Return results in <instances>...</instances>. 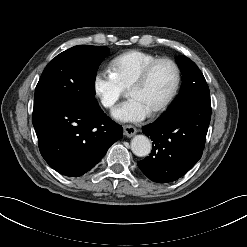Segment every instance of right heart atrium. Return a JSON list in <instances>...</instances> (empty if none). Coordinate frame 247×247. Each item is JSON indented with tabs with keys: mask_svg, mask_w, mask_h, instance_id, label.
Instances as JSON below:
<instances>
[{
	"mask_svg": "<svg viewBox=\"0 0 247 247\" xmlns=\"http://www.w3.org/2000/svg\"><path fill=\"white\" fill-rule=\"evenodd\" d=\"M93 93L100 105L106 109L112 108L124 93L111 74L107 71H98L93 77Z\"/></svg>",
	"mask_w": 247,
	"mask_h": 247,
	"instance_id": "1",
	"label": "right heart atrium"
}]
</instances>
